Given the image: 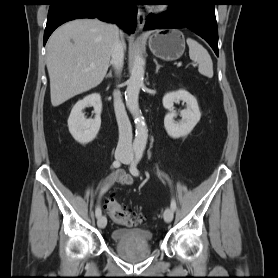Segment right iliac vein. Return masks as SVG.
Wrapping results in <instances>:
<instances>
[{"instance_id": "obj_1", "label": "right iliac vein", "mask_w": 278, "mask_h": 278, "mask_svg": "<svg viewBox=\"0 0 278 278\" xmlns=\"http://www.w3.org/2000/svg\"><path fill=\"white\" fill-rule=\"evenodd\" d=\"M115 157L117 160H124L127 157V155L124 152H117L115 154ZM97 224L100 228H105L107 224L106 217L105 216L98 217Z\"/></svg>"}]
</instances>
